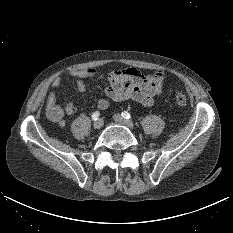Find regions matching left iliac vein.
<instances>
[{"label":"left iliac vein","instance_id":"1","mask_svg":"<svg viewBox=\"0 0 233 233\" xmlns=\"http://www.w3.org/2000/svg\"><path fill=\"white\" fill-rule=\"evenodd\" d=\"M113 118L117 123L125 125L130 130H134V124L130 120L124 119L120 114H115Z\"/></svg>","mask_w":233,"mask_h":233}]
</instances>
